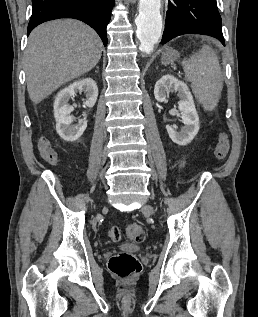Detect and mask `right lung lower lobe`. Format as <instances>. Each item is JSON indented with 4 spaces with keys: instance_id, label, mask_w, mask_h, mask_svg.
Returning <instances> with one entry per match:
<instances>
[{
    "instance_id": "1",
    "label": "right lung lower lobe",
    "mask_w": 258,
    "mask_h": 317,
    "mask_svg": "<svg viewBox=\"0 0 258 317\" xmlns=\"http://www.w3.org/2000/svg\"><path fill=\"white\" fill-rule=\"evenodd\" d=\"M33 11L28 34L39 24L59 19L74 18L90 25L107 45L106 27L114 0H32Z\"/></svg>"
}]
</instances>
